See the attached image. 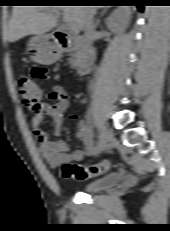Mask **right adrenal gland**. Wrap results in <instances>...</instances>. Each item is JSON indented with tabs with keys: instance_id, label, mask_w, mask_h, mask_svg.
Wrapping results in <instances>:
<instances>
[{
	"instance_id": "2a0ac1e0",
	"label": "right adrenal gland",
	"mask_w": 170,
	"mask_h": 231,
	"mask_svg": "<svg viewBox=\"0 0 170 231\" xmlns=\"http://www.w3.org/2000/svg\"><path fill=\"white\" fill-rule=\"evenodd\" d=\"M105 12H106V9H104V10L101 12L100 17L103 16V15L105 14ZM100 17L96 20V26H97V27L100 25Z\"/></svg>"
}]
</instances>
